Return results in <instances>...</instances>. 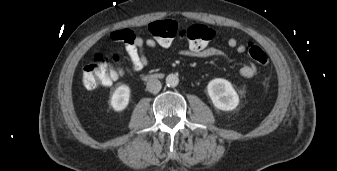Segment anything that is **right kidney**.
<instances>
[{
  "label": "right kidney",
  "instance_id": "ca27d5eb",
  "mask_svg": "<svg viewBox=\"0 0 337 171\" xmlns=\"http://www.w3.org/2000/svg\"><path fill=\"white\" fill-rule=\"evenodd\" d=\"M129 98L130 88L127 85H121L112 94L110 104L115 111H122L128 106Z\"/></svg>",
  "mask_w": 337,
  "mask_h": 171
}]
</instances>
